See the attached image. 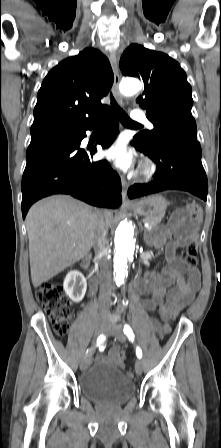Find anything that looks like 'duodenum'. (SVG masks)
I'll return each instance as SVG.
<instances>
[{
	"instance_id": "duodenum-1",
	"label": "duodenum",
	"mask_w": 221,
	"mask_h": 448,
	"mask_svg": "<svg viewBox=\"0 0 221 448\" xmlns=\"http://www.w3.org/2000/svg\"><path fill=\"white\" fill-rule=\"evenodd\" d=\"M83 265H84V267H86L87 266L86 262H84Z\"/></svg>"
}]
</instances>
